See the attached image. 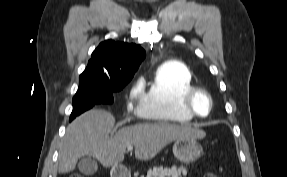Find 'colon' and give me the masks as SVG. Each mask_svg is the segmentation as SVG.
Segmentation results:
<instances>
[{"instance_id": "colon-1", "label": "colon", "mask_w": 287, "mask_h": 177, "mask_svg": "<svg viewBox=\"0 0 287 177\" xmlns=\"http://www.w3.org/2000/svg\"><path fill=\"white\" fill-rule=\"evenodd\" d=\"M70 177H82V176H80L78 174H74V175H72ZM201 177H218V176H217L216 173L208 171V172H205Z\"/></svg>"}]
</instances>
